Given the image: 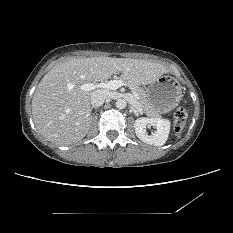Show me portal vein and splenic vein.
Returning <instances> with one entry per match:
<instances>
[{
	"label": "portal vein and splenic vein",
	"instance_id": "portal-vein-and-splenic-vein-1",
	"mask_svg": "<svg viewBox=\"0 0 233 233\" xmlns=\"http://www.w3.org/2000/svg\"><path fill=\"white\" fill-rule=\"evenodd\" d=\"M124 85L123 80H111L105 83H85L81 86V89L84 91H92L96 88H105L110 90H116ZM134 97L138 99V94L133 90V88H130Z\"/></svg>",
	"mask_w": 233,
	"mask_h": 233
}]
</instances>
